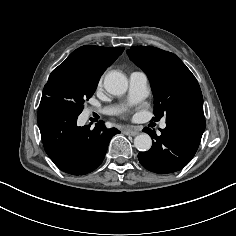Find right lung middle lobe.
Returning a JSON list of instances; mask_svg holds the SVG:
<instances>
[{
  "label": "right lung middle lobe",
  "mask_w": 236,
  "mask_h": 236,
  "mask_svg": "<svg viewBox=\"0 0 236 236\" xmlns=\"http://www.w3.org/2000/svg\"><path fill=\"white\" fill-rule=\"evenodd\" d=\"M99 79L81 74L70 67L59 65L50 74L44 86L42 99L59 98L73 107L78 113L83 104L92 97Z\"/></svg>",
  "instance_id": "obj_1"
}]
</instances>
